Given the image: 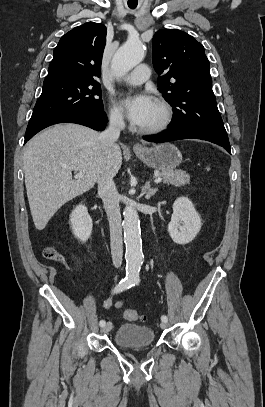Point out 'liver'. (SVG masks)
Instances as JSON below:
<instances>
[{"instance_id": "1", "label": "liver", "mask_w": 265, "mask_h": 407, "mask_svg": "<svg viewBox=\"0 0 265 407\" xmlns=\"http://www.w3.org/2000/svg\"><path fill=\"white\" fill-rule=\"evenodd\" d=\"M99 135L88 127L65 123L27 143L25 186L36 229L43 230L62 205L93 188L103 169L117 174L122 164L120 146L104 151ZM73 170L84 174L73 179Z\"/></svg>"}]
</instances>
